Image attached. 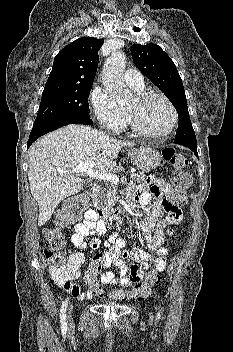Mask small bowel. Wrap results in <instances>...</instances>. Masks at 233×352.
I'll use <instances>...</instances> for the list:
<instances>
[{
	"instance_id": "small-bowel-1",
	"label": "small bowel",
	"mask_w": 233,
	"mask_h": 352,
	"mask_svg": "<svg viewBox=\"0 0 233 352\" xmlns=\"http://www.w3.org/2000/svg\"><path fill=\"white\" fill-rule=\"evenodd\" d=\"M169 194V185L156 177L148 178L146 183L130 191V197L142 206H147L151 199L155 198L150 214L141 222L148 250H142L137 245H133L129 251L124 250L125 240L117 232H113L104 242L103 267L115 265L119 276H116L113 271H106L101 275L103 284L128 287L139 282L143 273L147 270L148 262L152 259L153 254L156 255L154 265L161 269L165 267L168 249L162 246L164 230L168 226L178 224L182 219L181 208L169 203ZM105 231L106 226L98 220L97 213L88 210L83 221L75 225L71 242L76 248L93 253L100 246V240L95 236L102 235ZM125 258L133 259L137 264L128 266L123 261ZM84 261L85 255L83 252L71 253L68 256V262L74 270L72 276L64 281L56 280L58 285L79 300H89L93 297L90 291H81L80 287L74 282L81 276L80 268Z\"/></svg>"
}]
</instances>
